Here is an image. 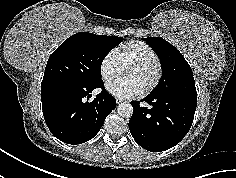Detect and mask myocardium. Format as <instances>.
Masks as SVG:
<instances>
[{
    "label": "myocardium",
    "mask_w": 236,
    "mask_h": 178,
    "mask_svg": "<svg viewBox=\"0 0 236 178\" xmlns=\"http://www.w3.org/2000/svg\"><path fill=\"white\" fill-rule=\"evenodd\" d=\"M130 68H141V69H149L153 68L155 70V77L152 83L147 86L144 90H142V94L147 95L154 91L160 84L163 77V67L158 61H133L129 63L124 70Z\"/></svg>",
    "instance_id": "obj_1"
}]
</instances>
